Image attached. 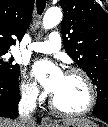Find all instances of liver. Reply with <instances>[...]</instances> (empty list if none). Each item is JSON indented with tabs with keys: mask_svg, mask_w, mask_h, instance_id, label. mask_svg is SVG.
I'll use <instances>...</instances> for the list:
<instances>
[{
	"mask_svg": "<svg viewBox=\"0 0 108 127\" xmlns=\"http://www.w3.org/2000/svg\"><path fill=\"white\" fill-rule=\"evenodd\" d=\"M64 123H79L81 125H87V124L95 125V123L91 122L90 120L86 118L69 119V120H66ZM0 127H21V124L19 123L18 120L0 118ZM31 127H36V123L32 124Z\"/></svg>",
	"mask_w": 108,
	"mask_h": 127,
	"instance_id": "6515ba94",
	"label": "liver"
}]
</instances>
